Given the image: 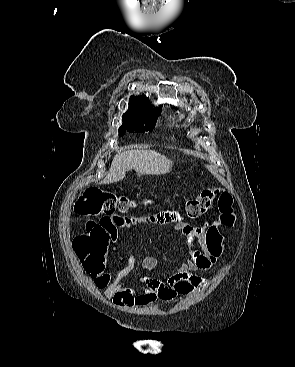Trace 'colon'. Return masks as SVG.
<instances>
[{"instance_id": "1", "label": "colon", "mask_w": 295, "mask_h": 367, "mask_svg": "<svg viewBox=\"0 0 295 367\" xmlns=\"http://www.w3.org/2000/svg\"><path fill=\"white\" fill-rule=\"evenodd\" d=\"M215 202H217L221 213L220 223L224 226H232L234 223L232 198L227 193L219 194L218 189L214 187L204 189L197 197L187 200L180 216L191 219L199 218L206 214ZM133 206L135 203L123 196L92 187L79 196L74 210L77 214L84 216L102 214V218H110L116 216L117 212H125ZM171 209L180 208L172 207ZM208 243L213 250H218V246L221 244V235L214 227L208 231ZM73 248L87 273L93 277L103 272L107 251V235L99 223L88 221L86 233L74 239Z\"/></svg>"}]
</instances>
